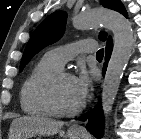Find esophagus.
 Segmentation results:
<instances>
[{
    "mask_svg": "<svg viewBox=\"0 0 141 139\" xmlns=\"http://www.w3.org/2000/svg\"><path fill=\"white\" fill-rule=\"evenodd\" d=\"M72 129L76 130V131H83L84 130V128L81 125H78V124H74L72 126Z\"/></svg>",
    "mask_w": 141,
    "mask_h": 139,
    "instance_id": "1",
    "label": "esophagus"
}]
</instances>
